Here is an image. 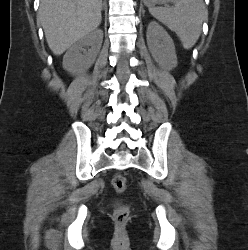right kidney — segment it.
<instances>
[{"label": "right kidney", "mask_w": 248, "mask_h": 250, "mask_svg": "<svg viewBox=\"0 0 248 250\" xmlns=\"http://www.w3.org/2000/svg\"><path fill=\"white\" fill-rule=\"evenodd\" d=\"M102 40V30H96L79 39L64 55L63 68L72 75H78L90 68L100 51ZM86 47L90 49L86 51Z\"/></svg>", "instance_id": "obj_1"}]
</instances>
